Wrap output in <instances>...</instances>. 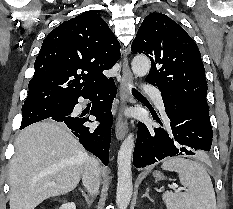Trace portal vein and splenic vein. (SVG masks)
<instances>
[{
	"label": "portal vein and splenic vein",
	"mask_w": 233,
	"mask_h": 209,
	"mask_svg": "<svg viewBox=\"0 0 233 209\" xmlns=\"http://www.w3.org/2000/svg\"><path fill=\"white\" fill-rule=\"evenodd\" d=\"M182 190V188H178V191Z\"/></svg>",
	"instance_id": "obj_1"
}]
</instances>
